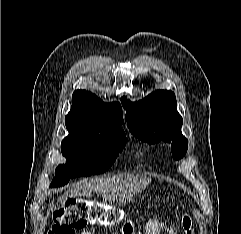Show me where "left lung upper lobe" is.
<instances>
[{
    "label": "left lung upper lobe",
    "mask_w": 241,
    "mask_h": 234,
    "mask_svg": "<svg viewBox=\"0 0 241 234\" xmlns=\"http://www.w3.org/2000/svg\"><path fill=\"white\" fill-rule=\"evenodd\" d=\"M130 132L150 144L164 141L171 144L172 156L181 159L187 152L188 140L182 135L183 119L176 110L172 91L157 90L143 100L131 103L121 98Z\"/></svg>",
    "instance_id": "obj_1"
}]
</instances>
